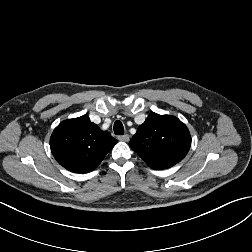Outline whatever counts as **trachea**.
<instances>
[{
	"label": "trachea",
	"mask_w": 252,
	"mask_h": 252,
	"mask_svg": "<svg viewBox=\"0 0 252 252\" xmlns=\"http://www.w3.org/2000/svg\"><path fill=\"white\" fill-rule=\"evenodd\" d=\"M114 133L116 135H123L124 134V127L123 124L121 123V121L117 120L114 123Z\"/></svg>",
	"instance_id": "obj_1"
}]
</instances>
